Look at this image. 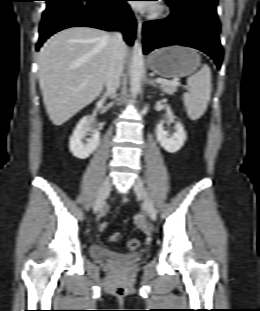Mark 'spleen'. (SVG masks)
<instances>
[{
  "instance_id": "1",
  "label": "spleen",
  "mask_w": 260,
  "mask_h": 311,
  "mask_svg": "<svg viewBox=\"0 0 260 311\" xmlns=\"http://www.w3.org/2000/svg\"><path fill=\"white\" fill-rule=\"evenodd\" d=\"M188 91L183 94L184 105L191 120L199 119L207 109L211 95V70L206 64L187 79Z\"/></svg>"
}]
</instances>
